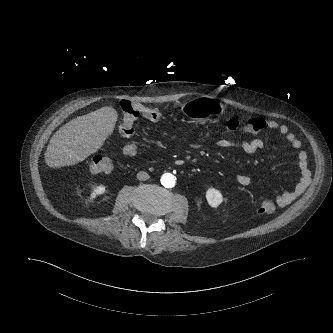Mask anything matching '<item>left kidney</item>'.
Returning a JSON list of instances; mask_svg holds the SVG:
<instances>
[{"instance_id": "5707ae66", "label": "left kidney", "mask_w": 333, "mask_h": 333, "mask_svg": "<svg viewBox=\"0 0 333 333\" xmlns=\"http://www.w3.org/2000/svg\"><path fill=\"white\" fill-rule=\"evenodd\" d=\"M206 199L211 207L217 208L222 203L223 196L219 190L210 188L206 192Z\"/></svg>"}]
</instances>
